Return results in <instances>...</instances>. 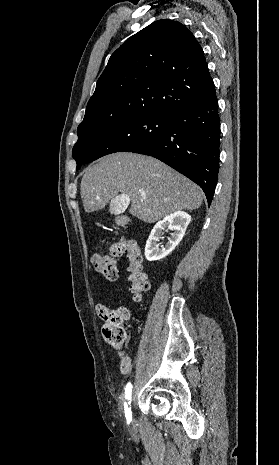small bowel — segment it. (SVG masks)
<instances>
[{
	"mask_svg": "<svg viewBox=\"0 0 279 465\" xmlns=\"http://www.w3.org/2000/svg\"><path fill=\"white\" fill-rule=\"evenodd\" d=\"M118 355L121 357L120 370L122 374H128L132 369L131 358L124 353V351H118Z\"/></svg>",
	"mask_w": 279,
	"mask_h": 465,
	"instance_id": "obj_1",
	"label": "small bowel"
}]
</instances>
